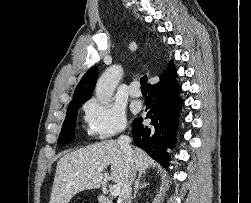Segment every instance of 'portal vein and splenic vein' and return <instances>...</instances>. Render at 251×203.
<instances>
[{
  "mask_svg": "<svg viewBox=\"0 0 251 203\" xmlns=\"http://www.w3.org/2000/svg\"><path fill=\"white\" fill-rule=\"evenodd\" d=\"M104 168H98V172H102ZM110 193L112 196H118L120 194V187L118 185H112L110 187Z\"/></svg>",
  "mask_w": 251,
  "mask_h": 203,
  "instance_id": "18ae733b",
  "label": "portal vein and splenic vein"
}]
</instances>
